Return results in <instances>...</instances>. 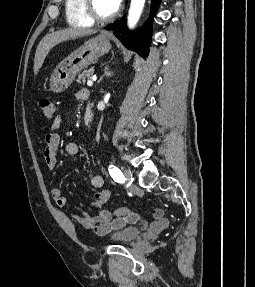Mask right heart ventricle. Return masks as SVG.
<instances>
[{"label": "right heart ventricle", "instance_id": "1", "mask_svg": "<svg viewBox=\"0 0 255 287\" xmlns=\"http://www.w3.org/2000/svg\"><path fill=\"white\" fill-rule=\"evenodd\" d=\"M87 33V32H86ZM86 39H93V38H86ZM95 39H97V38H95Z\"/></svg>", "mask_w": 255, "mask_h": 287}]
</instances>
